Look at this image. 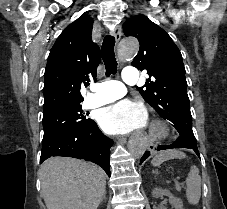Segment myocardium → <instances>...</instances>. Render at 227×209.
Wrapping results in <instances>:
<instances>
[{"instance_id": "f54148a6", "label": "myocardium", "mask_w": 227, "mask_h": 209, "mask_svg": "<svg viewBox=\"0 0 227 209\" xmlns=\"http://www.w3.org/2000/svg\"><path fill=\"white\" fill-rule=\"evenodd\" d=\"M172 135L168 124L162 119H154L148 128L146 138L149 140L166 139Z\"/></svg>"}]
</instances>
